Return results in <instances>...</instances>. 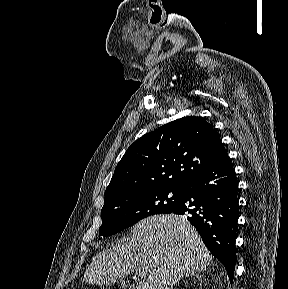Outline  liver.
<instances>
[{"instance_id": "obj_1", "label": "liver", "mask_w": 288, "mask_h": 289, "mask_svg": "<svg viewBox=\"0 0 288 289\" xmlns=\"http://www.w3.org/2000/svg\"><path fill=\"white\" fill-rule=\"evenodd\" d=\"M212 255L183 216L155 215L138 222L129 242L118 243L92 258L83 281L110 285L133 270L137 289H172L184 276L205 268Z\"/></svg>"}]
</instances>
